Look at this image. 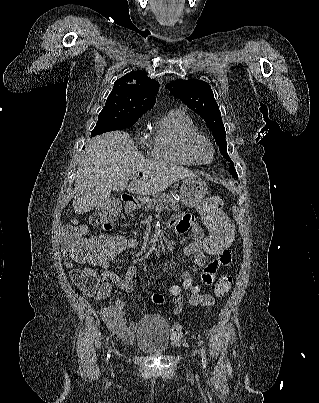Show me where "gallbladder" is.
I'll use <instances>...</instances> for the list:
<instances>
[{
    "mask_svg": "<svg viewBox=\"0 0 319 403\" xmlns=\"http://www.w3.org/2000/svg\"><path fill=\"white\" fill-rule=\"evenodd\" d=\"M115 202H117V200L116 199H110L108 202H106L104 205H103V207L105 208V209H107L108 211H113V207H115Z\"/></svg>",
    "mask_w": 319,
    "mask_h": 403,
    "instance_id": "gallbladder-1",
    "label": "gallbladder"
}]
</instances>
